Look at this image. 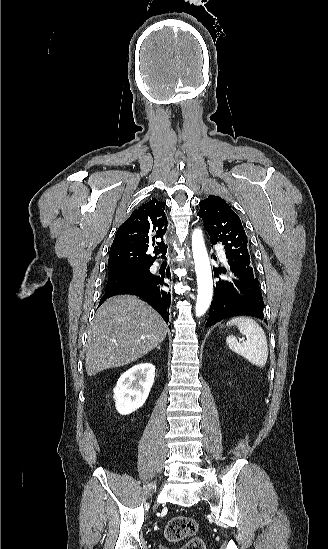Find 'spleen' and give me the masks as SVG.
<instances>
[{
  "label": "spleen",
  "mask_w": 328,
  "mask_h": 549,
  "mask_svg": "<svg viewBox=\"0 0 328 549\" xmlns=\"http://www.w3.org/2000/svg\"><path fill=\"white\" fill-rule=\"evenodd\" d=\"M233 325L238 327L247 341L246 343H238L236 337L230 335L226 339L229 349L247 359L252 365L265 367L268 359V343L262 327L250 317H234V319L228 321L227 327H233Z\"/></svg>",
  "instance_id": "obj_1"
}]
</instances>
